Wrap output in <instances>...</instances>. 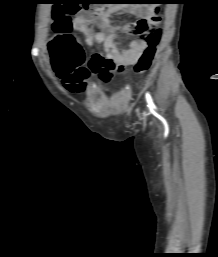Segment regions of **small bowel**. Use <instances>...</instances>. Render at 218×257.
<instances>
[{"mask_svg": "<svg viewBox=\"0 0 218 257\" xmlns=\"http://www.w3.org/2000/svg\"><path fill=\"white\" fill-rule=\"evenodd\" d=\"M144 13L130 6H115L107 8L100 16L88 10H80L72 20L74 30L82 33L90 48L102 44L104 52H88L89 67L82 66L68 77H61L67 90L82 92L86 88L87 80L92 74H97L99 82H110L116 78V73H122L127 66L137 64L143 52L148 47L145 38L133 39L128 46L117 44V34L111 23L113 14Z\"/></svg>", "mask_w": 218, "mask_h": 257, "instance_id": "obj_1", "label": "small bowel"}]
</instances>
